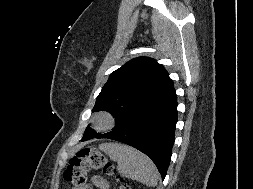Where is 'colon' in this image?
Wrapping results in <instances>:
<instances>
[{"instance_id": "colon-1", "label": "colon", "mask_w": 253, "mask_h": 189, "mask_svg": "<svg viewBox=\"0 0 253 189\" xmlns=\"http://www.w3.org/2000/svg\"><path fill=\"white\" fill-rule=\"evenodd\" d=\"M90 170H99L106 175L115 176L113 163L98 149L85 147L80 149L70 160L64 171V179L73 189H81ZM118 189H130L121 177L116 176Z\"/></svg>"}]
</instances>
